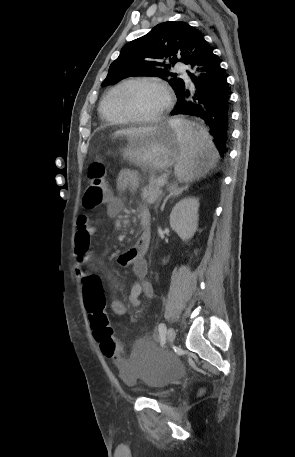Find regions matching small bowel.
I'll list each match as a JSON object with an SVG mask.
<instances>
[{
    "mask_svg": "<svg viewBox=\"0 0 295 457\" xmlns=\"http://www.w3.org/2000/svg\"><path fill=\"white\" fill-rule=\"evenodd\" d=\"M117 187L121 191L136 190L139 187V177L137 173L127 169L122 170L117 178ZM123 207L124 203L120 198L110 196L107 202L106 214L110 218H117L123 210ZM137 211L138 218L142 226V234L132 248L124 251L117 258L119 265L130 266L133 273L138 278L137 282L132 286L129 294V304L132 307H138L140 305V296L142 294L150 299L155 298V292L152 285L145 279L148 268L144 256L148 250L151 239L150 213L147 208L143 206H139ZM95 233L96 228L93 221L87 215L78 216L77 232L75 237L76 261L74 264V270L77 278L82 282L83 287L86 279L95 276L88 273L85 269L86 264L91 258L90 245ZM110 306L111 310L116 315L123 316L128 314L127 306L120 300H113ZM121 351H123L122 345Z\"/></svg>",
    "mask_w": 295,
    "mask_h": 457,
    "instance_id": "small-bowel-1",
    "label": "small bowel"
}]
</instances>
